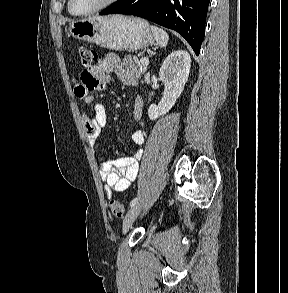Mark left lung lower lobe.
<instances>
[{"mask_svg": "<svg viewBox=\"0 0 288 293\" xmlns=\"http://www.w3.org/2000/svg\"><path fill=\"white\" fill-rule=\"evenodd\" d=\"M209 3L210 0H118L100 15H134L175 30L199 55Z\"/></svg>", "mask_w": 288, "mask_h": 293, "instance_id": "obj_1", "label": "left lung lower lobe"}]
</instances>
